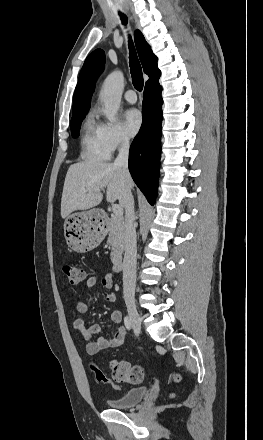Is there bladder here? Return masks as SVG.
I'll list each match as a JSON object with an SVG mask.
<instances>
[{"label":"bladder","instance_id":"31cf9c89","mask_svg":"<svg viewBox=\"0 0 263 440\" xmlns=\"http://www.w3.org/2000/svg\"><path fill=\"white\" fill-rule=\"evenodd\" d=\"M147 391L145 386L130 388L123 395L107 400V404L112 409H130L145 398Z\"/></svg>","mask_w":263,"mask_h":440}]
</instances>
